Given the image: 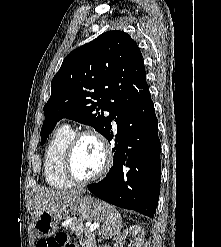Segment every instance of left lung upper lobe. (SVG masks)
<instances>
[{"label": "left lung upper lobe", "instance_id": "obj_1", "mask_svg": "<svg viewBox=\"0 0 221 247\" xmlns=\"http://www.w3.org/2000/svg\"><path fill=\"white\" fill-rule=\"evenodd\" d=\"M149 97L137 43L123 31L103 33L72 51L53 77L41 145L62 118L90 125L106 136L119 108Z\"/></svg>", "mask_w": 221, "mask_h": 247}]
</instances>
